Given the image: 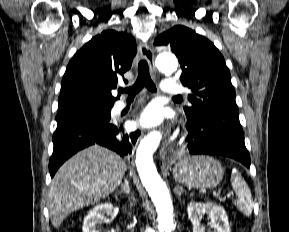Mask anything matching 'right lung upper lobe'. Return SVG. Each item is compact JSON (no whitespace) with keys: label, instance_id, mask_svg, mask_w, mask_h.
<instances>
[{"label":"right lung upper lobe","instance_id":"right-lung-upper-lobe-1","mask_svg":"<svg viewBox=\"0 0 289 232\" xmlns=\"http://www.w3.org/2000/svg\"><path fill=\"white\" fill-rule=\"evenodd\" d=\"M136 52L132 36L103 31L84 45L69 62L61 83L59 109L112 107L118 79L130 69Z\"/></svg>","mask_w":289,"mask_h":232}]
</instances>
